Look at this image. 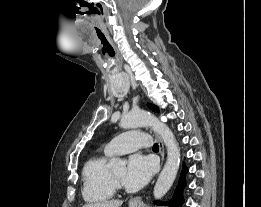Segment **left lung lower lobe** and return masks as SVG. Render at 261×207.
Here are the masks:
<instances>
[{
    "label": "left lung lower lobe",
    "instance_id": "obj_1",
    "mask_svg": "<svg viewBox=\"0 0 261 207\" xmlns=\"http://www.w3.org/2000/svg\"><path fill=\"white\" fill-rule=\"evenodd\" d=\"M187 172V168L184 166L182 169V173L179 179V183L178 186L174 192V195L172 197V199L169 202H159V201H155V204H159V205H168L171 207H182V204L184 202L183 196H182V191L183 188L185 186V174Z\"/></svg>",
    "mask_w": 261,
    "mask_h": 207
}]
</instances>
